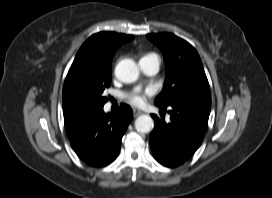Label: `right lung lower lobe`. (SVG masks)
<instances>
[{"instance_id": "obj_1", "label": "right lung lower lobe", "mask_w": 272, "mask_h": 198, "mask_svg": "<svg viewBox=\"0 0 272 198\" xmlns=\"http://www.w3.org/2000/svg\"><path fill=\"white\" fill-rule=\"evenodd\" d=\"M132 117L130 106L121 104L115 113H104L103 107L90 108L64 122L79 158L91 166L101 167L118 156L121 139Z\"/></svg>"}]
</instances>
